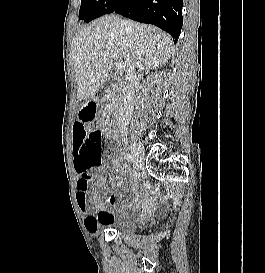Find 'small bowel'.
I'll list each match as a JSON object with an SVG mask.
<instances>
[{"mask_svg": "<svg viewBox=\"0 0 265 273\" xmlns=\"http://www.w3.org/2000/svg\"><path fill=\"white\" fill-rule=\"evenodd\" d=\"M96 110L93 105L88 102H84L80 105L78 110V121L74 124L73 129V156H74V169L77 174V193L76 199L80 210L84 215L85 228L89 233H97L101 228L108 226L114 221V215L110 210V206L115 204V196L110 194L106 197H102L99 193V189L102 188L106 179L100 174L91 173L89 171L87 174L83 173L79 168L78 162V152L76 150L77 136L76 129H89V124L93 123ZM116 168L119 167V163L114 162ZM121 171L125 174L129 172L127 166H124ZM94 181V187L89 188V181ZM118 183L120 180L117 181ZM143 204L142 195L138 194L135 196L133 201L128 205V207L138 208Z\"/></svg>", "mask_w": 265, "mask_h": 273, "instance_id": "1", "label": "small bowel"}]
</instances>
